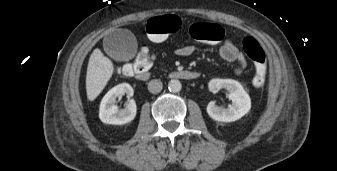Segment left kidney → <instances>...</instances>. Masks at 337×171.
<instances>
[{
  "mask_svg": "<svg viewBox=\"0 0 337 171\" xmlns=\"http://www.w3.org/2000/svg\"><path fill=\"white\" fill-rule=\"evenodd\" d=\"M209 88L213 92L226 89L228 98L232 101L227 108L219 107L214 101H211L207 106V113L212 119L220 122H233L250 111L251 99L238 81L233 79H212L209 82Z\"/></svg>",
  "mask_w": 337,
  "mask_h": 171,
  "instance_id": "1",
  "label": "left kidney"
}]
</instances>
